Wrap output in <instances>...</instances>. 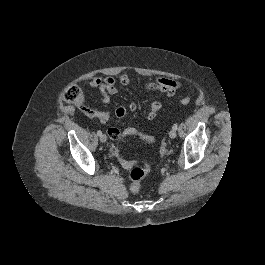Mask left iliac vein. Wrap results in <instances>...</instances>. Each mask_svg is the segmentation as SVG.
Instances as JSON below:
<instances>
[{
    "mask_svg": "<svg viewBox=\"0 0 265 265\" xmlns=\"http://www.w3.org/2000/svg\"><path fill=\"white\" fill-rule=\"evenodd\" d=\"M176 135H177V133H176V130H171L170 132H169V137L171 138V139H174L175 137H176Z\"/></svg>",
    "mask_w": 265,
    "mask_h": 265,
    "instance_id": "1",
    "label": "left iliac vein"
}]
</instances>
